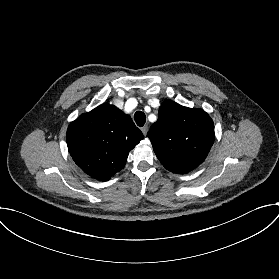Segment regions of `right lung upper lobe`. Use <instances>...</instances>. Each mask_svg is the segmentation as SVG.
I'll use <instances>...</instances> for the list:
<instances>
[{
  "label": "right lung upper lobe",
  "mask_w": 279,
  "mask_h": 279,
  "mask_svg": "<svg viewBox=\"0 0 279 279\" xmlns=\"http://www.w3.org/2000/svg\"><path fill=\"white\" fill-rule=\"evenodd\" d=\"M66 137L75 163L101 181L119 172L130 150L144 138L132 119L110 104L82 114L69 125Z\"/></svg>",
  "instance_id": "cb5924a9"
}]
</instances>
